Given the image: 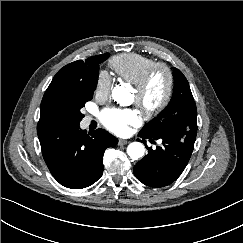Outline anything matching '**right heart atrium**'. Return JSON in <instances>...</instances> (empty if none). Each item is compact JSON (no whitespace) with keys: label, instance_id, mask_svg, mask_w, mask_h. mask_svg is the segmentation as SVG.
Returning a JSON list of instances; mask_svg holds the SVG:
<instances>
[{"label":"right heart atrium","instance_id":"1","mask_svg":"<svg viewBox=\"0 0 243 243\" xmlns=\"http://www.w3.org/2000/svg\"><path fill=\"white\" fill-rule=\"evenodd\" d=\"M112 88V78L104 70L98 72L95 82V94L97 97H106Z\"/></svg>","mask_w":243,"mask_h":243}]
</instances>
